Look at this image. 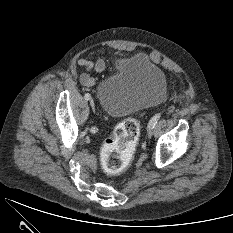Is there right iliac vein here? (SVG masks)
Returning a JSON list of instances; mask_svg holds the SVG:
<instances>
[{
    "label": "right iliac vein",
    "mask_w": 233,
    "mask_h": 233,
    "mask_svg": "<svg viewBox=\"0 0 233 233\" xmlns=\"http://www.w3.org/2000/svg\"><path fill=\"white\" fill-rule=\"evenodd\" d=\"M90 105L92 107V110L95 112V103L92 99L90 100Z\"/></svg>",
    "instance_id": "63e3f726"
}]
</instances>
